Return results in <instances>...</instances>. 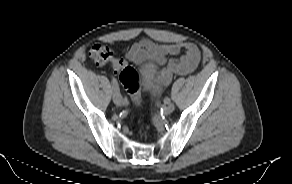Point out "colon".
Returning a JSON list of instances; mask_svg holds the SVG:
<instances>
[{
    "label": "colon",
    "mask_w": 292,
    "mask_h": 184,
    "mask_svg": "<svg viewBox=\"0 0 292 184\" xmlns=\"http://www.w3.org/2000/svg\"><path fill=\"white\" fill-rule=\"evenodd\" d=\"M89 55L91 59L99 65L105 64L114 59L112 50L108 46L100 44L94 45L91 48ZM119 78L124 88L130 94L133 103L136 106L140 105V85L137 71L134 68L125 65L119 72Z\"/></svg>",
    "instance_id": "colon-1"
}]
</instances>
